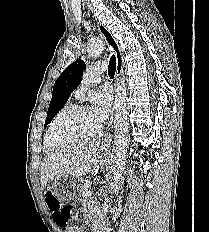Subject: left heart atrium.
<instances>
[{
    "instance_id": "39dd6f15",
    "label": "left heart atrium",
    "mask_w": 209,
    "mask_h": 232,
    "mask_svg": "<svg viewBox=\"0 0 209 232\" xmlns=\"http://www.w3.org/2000/svg\"><path fill=\"white\" fill-rule=\"evenodd\" d=\"M112 107V96L108 89L96 93L92 99L91 111L99 122L105 121Z\"/></svg>"
}]
</instances>
